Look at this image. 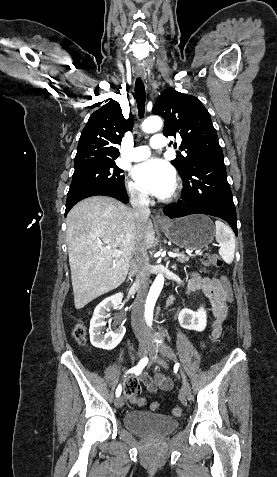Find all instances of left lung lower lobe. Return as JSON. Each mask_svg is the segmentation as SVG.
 <instances>
[{"label":"left lung lower lobe","instance_id":"left-lung-lower-lobe-1","mask_svg":"<svg viewBox=\"0 0 277 477\" xmlns=\"http://www.w3.org/2000/svg\"><path fill=\"white\" fill-rule=\"evenodd\" d=\"M184 181L181 200L163 209L170 218L208 214L225 220L237 236V217L223 154L196 161Z\"/></svg>","mask_w":277,"mask_h":477}]
</instances>
